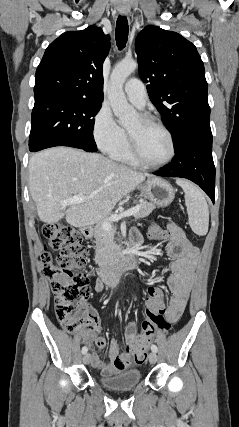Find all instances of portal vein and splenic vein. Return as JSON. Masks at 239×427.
Masks as SVG:
<instances>
[{
    "label": "portal vein and splenic vein",
    "instance_id": "1",
    "mask_svg": "<svg viewBox=\"0 0 239 427\" xmlns=\"http://www.w3.org/2000/svg\"><path fill=\"white\" fill-rule=\"evenodd\" d=\"M85 200H86V197H85V196H82V195H74V196L70 197L69 199H67V200L63 201V202H62V204H64V205H68V204H78V203H82V202H84ZM140 209H141V206H140V205H136V206H134V207H132V208H130V209H128V210H126L125 212H122V213H120V214H114V215H111L109 218H107L106 220H104V221L101 223V226H102V228H103L105 231H109V230H111V228H112L111 222L119 221V220H121L122 218H125V217H129V216L135 215L136 213H138V212L140 211Z\"/></svg>",
    "mask_w": 239,
    "mask_h": 427
}]
</instances>
